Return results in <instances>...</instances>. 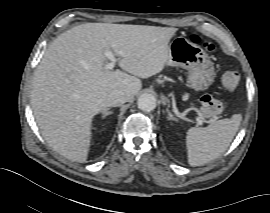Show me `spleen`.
I'll return each mask as SVG.
<instances>
[{"label":"spleen","mask_w":270,"mask_h":213,"mask_svg":"<svg viewBox=\"0 0 270 213\" xmlns=\"http://www.w3.org/2000/svg\"><path fill=\"white\" fill-rule=\"evenodd\" d=\"M242 117L215 121L206 128L192 127L187 131V159L191 166H201L218 158L230 145L240 126Z\"/></svg>","instance_id":"obj_1"}]
</instances>
